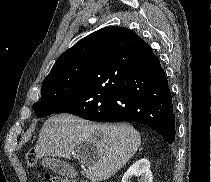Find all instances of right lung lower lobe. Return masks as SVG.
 Instances as JSON below:
<instances>
[{"instance_id":"right-lung-lower-lobe-1","label":"right lung lower lobe","mask_w":211,"mask_h":182,"mask_svg":"<svg viewBox=\"0 0 211 182\" xmlns=\"http://www.w3.org/2000/svg\"><path fill=\"white\" fill-rule=\"evenodd\" d=\"M55 113L137 122L169 144L175 139L172 96L160 61L145 41L133 43L122 27L100 30L84 82Z\"/></svg>"}]
</instances>
